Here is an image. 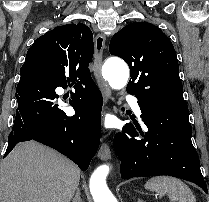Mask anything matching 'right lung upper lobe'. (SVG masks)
Returning a JSON list of instances; mask_svg holds the SVG:
<instances>
[{
  "label": "right lung upper lobe",
  "mask_w": 209,
  "mask_h": 202,
  "mask_svg": "<svg viewBox=\"0 0 209 202\" xmlns=\"http://www.w3.org/2000/svg\"><path fill=\"white\" fill-rule=\"evenodd\" d=\"M93 34L84 24H67L48 31L29 48L21 77H51L67 86L94 83L88 65L93 57ZM68 76V77H67Z\"/></svg>",
  "instance_id": "1"
}]
</instances>
